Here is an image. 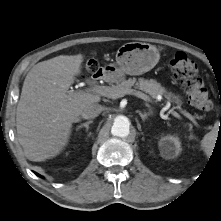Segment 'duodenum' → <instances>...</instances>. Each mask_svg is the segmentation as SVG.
Instances as JSON below:
<instances>
[{
  "mask_svg": "<svg viewBox=\"0 0 221 221\" xmlns=\"http://www.w3.org/2000/svg\"><path fill=\"white\" fill-rule=\"evenodd\" d=\"M106 77V73L103 70H98L93 74V78L97 81L104 80Z\"/></svg>",
  "mask_w": 221,
  "mask_h": 221,
  "instance_id": "410a0bca",
  "label": "duodenum"
}]
</instances>
